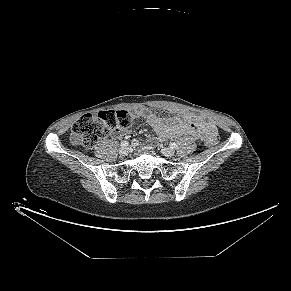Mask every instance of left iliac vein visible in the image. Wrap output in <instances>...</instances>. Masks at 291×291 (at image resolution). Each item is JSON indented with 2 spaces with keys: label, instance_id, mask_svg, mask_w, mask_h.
<instances>
[{
  "label": "left iliac vein",
  "instance_id": "4c4485c4",
  "mask_svg": "<svg viewBox=\"0 0 291 291\" xmlns=\"http://www.w3.org/2000/svg\"><path fill=\"white\" fill-rule=\"evenodd\" d=\"M161 152L166 157H172L174 155V153H175L172 148H167V147L162 148Z\"/></svg>",
  "mask_w": 291,
  "mask_h": 291
}]
</instances>
